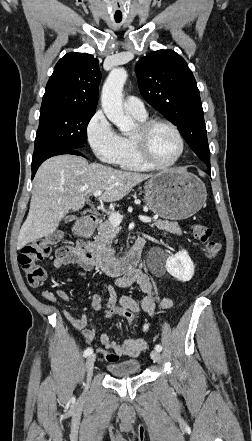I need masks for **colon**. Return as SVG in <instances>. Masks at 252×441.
Listing matches in <instances>:
<instances>
[{
	"mask_svg": "<svg viewBox=\"0 0 252 441\" xmlns=\"http://www.w3.org/2000/svg\"><path fill=\"white\" fill-rule=\"evenodd\" d=\"M192 236L205 244V255L209 259L218 256L221 244L211 239L212 229L203 224H194L191 227ZM60 240V235L54 234L24 246L19 255L18 263L25 273L28 284L32 287L40 285L47 277L46 270L39 265V262L47 258L52 251V247ZM139 308L135 304L110 305L103 310L106 319L121 318L130 324H134ZM104 358L114 363L119 356L114 352H102Z\"/></svg>",
	"mask_w": 252,
	"mask_h": 441,
	"instance_id": "5ec220e1",
	"label": "colon"
}]
</instances>
